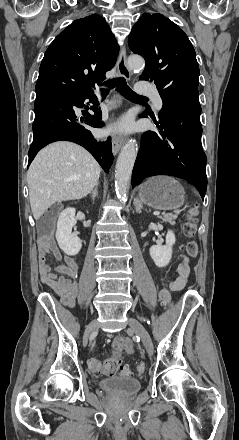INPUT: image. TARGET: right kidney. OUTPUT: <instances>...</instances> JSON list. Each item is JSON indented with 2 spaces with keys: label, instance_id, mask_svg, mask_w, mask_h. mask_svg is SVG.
<instances>
[{
  "label": "right kidney",
  "instance_id": "right-kidney-1",
  "mask_svg": "<svg viewBox=\"0 0 239 440\" xmlns=\"http://www.w3.org/2000/svg\"><path fill=\"white\" fill-rule=\"evenodd\" d=\"M75 212V208H66L61 212L57 222L56 240L66 256H76L82 248L80 238L71 234L73 226L77 224Z\"/></svg>",
  "mask_w": 239,
  "mask_h": 440
}]
</instances>
